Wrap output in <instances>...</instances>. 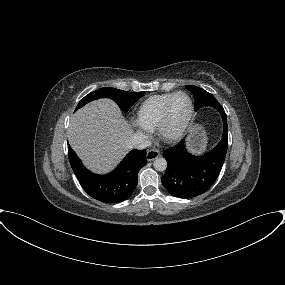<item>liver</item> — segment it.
I'll use <instances>...</instances> for the list:
<instances>
[{
    "instance_id": "obj_1",
    "label": "liver",
    "mask_w": 285,
    "mask_h": 285,
    "mask_svg": "<svg viewBox=\"0 0 285 285\" xmlns=\"http://www.w3.org/2000/svg\"><path fill=\"white\" fill-rule=\"evenodd\" d=\"M133 130L118 106L99 99L79 109L68 128L70 146L84 165L94 173L105 174L123 159Z\"/></svg>"
}]
</instances>
